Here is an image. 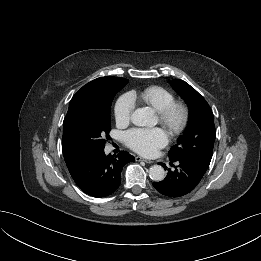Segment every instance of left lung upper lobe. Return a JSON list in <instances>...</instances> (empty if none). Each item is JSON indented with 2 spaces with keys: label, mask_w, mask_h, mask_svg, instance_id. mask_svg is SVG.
<instances>
[{
  "label": "left lung upper lobe",
  "mask_w": 261,
  "mask_h": 261,
  "mask_svg": "<svg viewBox=\"0 0 261 261\" xmlns=\"http://www.w3.org/2000/svg\"><path fill=\"white\" fill-rule=\"evenodd\" d=\"M190 108L189 125L169 151L170 160H184L205 174L209 167L216 137L213 113L206 100L183 80L171 82Z\"/></svg>",
  "instance_id": "5c2ea615"
}]
</instances>
